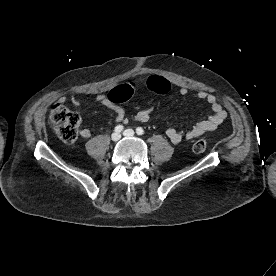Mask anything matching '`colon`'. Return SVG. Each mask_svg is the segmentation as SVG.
Here are the masks:
<instances>
[{
  "mask_svg": "<svg viewBox=\"0 0 276 276\" xmlns=\"http://www.w3.org/2000/svg\"><path fill=\"white\" fill-rule=\"evenodd\" d=\"M160 82L166 84L169 87V83L164 79H159ZM148 86L152 89L157 88L156 79H151L148 82ZM159 93V92H157ZM110 96L113 99L122 98L129 99L131 93L125 88H115L110 91ZM49 120L51 125L56 130L59 138L66 144H72L78 137L79 125H80V116L67 109L61 104H56L52 107ZM207 148V142L203 139L197 140L193 143L192 150L195 153H202Z\"/></svg>",
  "mask_w": 276,
  "mask_h": 276,
  "instance_id": "colon-1",
  "label": "colon"
}]
</instances>
